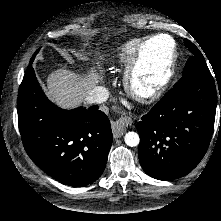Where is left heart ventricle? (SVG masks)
<instances>
[{"label": "left heart ventricle", "instance_id": "obj_1", "mask_svg": "<svg viewBox=\"0 0 221 221\" xmlns=\"http://www.w3.org/2000/svg\"><path fill=\"white\" fill-rule=\"evenodd\" d=\"M171 49V42L166 37H157L147 49L145 68L147 76L152 75L164 62Z\"/></svg>", "mask_w": 221, "mask_h": 221}]
</instances>
